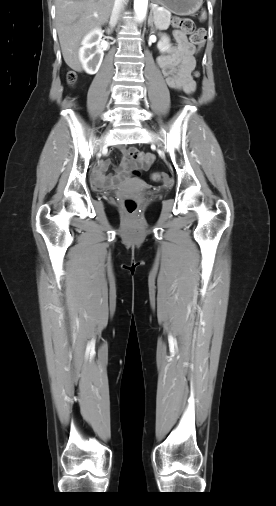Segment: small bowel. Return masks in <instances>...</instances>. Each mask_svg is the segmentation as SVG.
Instances as JSON below:
<instances>
[{
    "instance_id": "1",
    "label": "small bowel",
    "mask_w": 276,
    "mask_h": 506,
    "mask_svg": "<svg viewBox=\"0 0 276 506\" xmlns=\"http://www.w3.org/2000/svg\"><path fill=\"white\" fill-rule=\"evenodd\" d=\"M177 47L170 51L168 57H159L158 64L166 79L167 85L187 94L195 90V83L190 75L193 67V45L188 41L186 35L181 31L175 32ZM122 160L119 168L113 176H104V171L109 166L108 161L99 163L93 172L94 185L98 189H105L115 186L128 179L129 172L140 164L147 169L152 163L150 154H143L135 147L123 148Z\"/></svg>"
}]
</instances>
